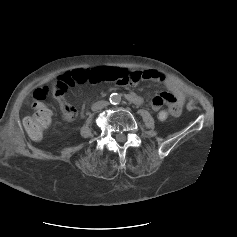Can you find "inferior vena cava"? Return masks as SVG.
Instances as JSON below:
<instances>
[{"label": "inferior vena cava", "instance_id": "inferior-vena-cava-1", "mask_svg": "<svg viewBox=\"0 0 237 237\" xmlns=\"http://www.w3.org/2000/svg\"><path fill=\"white\" fill-rule=\"evenodd\" d=\"M108 104L109 103L104 100L97 101L92 105L91 109H92V111H98V110H101V109L105 108L106 106H108Z\"/></svg>", "mask_w": 237, "mask_h": 237}]
</instances>
